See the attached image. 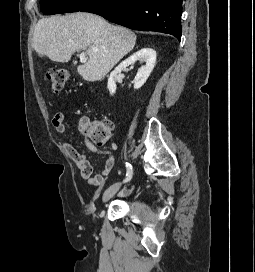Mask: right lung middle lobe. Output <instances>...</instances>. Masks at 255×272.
<instances>
[{
  "instance_id": "right-lung-middle-lobe-1",
  "label": "right lung middle lobe",
  "mask_w": 255,
  "mask_h": 272,
  "mask_svg": "<svg viewBox=\"0 0 255 272\" xmlns=\"http://www.w3.org/2000/svg\"><path fill=\"white\" fill-rule=\"evenodd\" d=\"M95 0H40L41 11L45 15L77 12Z\"/></svg>"
}]
</instances>
